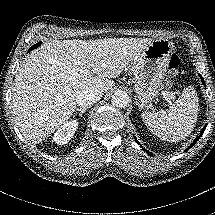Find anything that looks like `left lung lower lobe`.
I'll return each instance as SVG.
<instances>
[{"instance_id":"1","label":"left lung lower lobe","mask_w":215,"mask_h":215,"mask_svg":"<svg viewBox=\"0 0 215 215\" xmlns=\"http://www.w3.org/2000/svg\"><path fill=\"white\" fill-rule=\"evenodd\" d=\"M200 78H201V81H202V83L205 85V82H204V79L202 78V76H200ZM205 129H206V125L204 126V128L201 130V132H200V135L199 136H197V138L195 139V141H194V143L191 145V146H189L187 149H186V151L190 148V147H192L197 141H198V139L201 137V135L203 134V132L205 131ZM135 140H136V138H135ZM136 142L140 145V143L136 140ZM145 150V149H144ZM147 153H149L150 155H152L150 152H148L147 150H145Z\"/></svg>"}]
</instances>
